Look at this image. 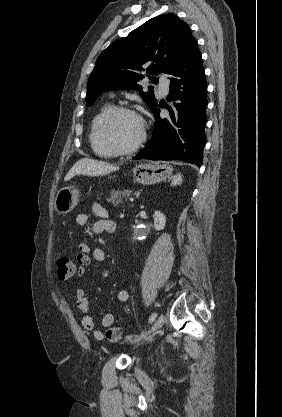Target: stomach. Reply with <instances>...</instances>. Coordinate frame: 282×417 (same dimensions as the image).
<instances>
[{"instance_id":"0dacf381","label":"stomach","mask_w":282,"mask_h":417,"mask_svg":"<svg viewBox=\"0 0 282 417\" xmlns=\"http://www.w3.org/2000/svg\"><path fill=\"white\" fill-rule=\"evenodd\" d=\"M172 172V166L166 164V162H163V164L140 162V164H136L133 168L134 180L141 182V184H155V182H160V180L168 178ZM80 196L82 194L80 188H77V186H63L56 194L54 202L55 211L60 213V215L70 213L77 206Z\"/></svg>"}]
</instances>
